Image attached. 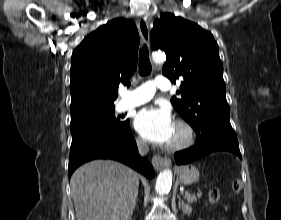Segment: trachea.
<instances>
[{
  "instance_id": "3493384b",
  "label": "trachea",
  "mask_w": 281,
  "mask_h": 220,
  "mask_svg": "<svg viewBox=\"0 0 281 220\" xmlns=\"http://www.w3.org/2000/svg\"><path fill=\"white\" fill-rule=\"evenodd\" d=\"M152 67L149 60V51L146 45L139 51V74L141 76L149 75Z\"/></svg>"
}]
</instances>
